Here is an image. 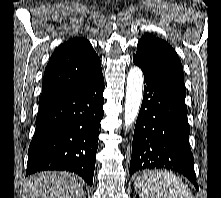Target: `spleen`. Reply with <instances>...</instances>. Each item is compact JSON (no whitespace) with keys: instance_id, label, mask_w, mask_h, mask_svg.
<instances>
[{"instance_id":"obj_1","label":"spleen","mask_w":221,"mask_h":198,"mask_svg":"<svg viewBox=\"0 0 221 198\" xmlns=\"http://www.w3.org/2000/svg\"><path fill=\"white\" fill-rule=\"evenodd\" d=\"M134 186L141 198H194L181 178L167 170L146 172Z\"/></svg>"}]
</instances>
